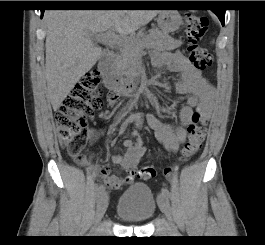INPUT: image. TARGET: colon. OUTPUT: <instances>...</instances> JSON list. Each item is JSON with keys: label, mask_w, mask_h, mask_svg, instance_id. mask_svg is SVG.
<instances>
[{"label": "colon", "mask_w": 265, "mask_h": 245, "mask_svg": "<svg viewBox=\"0 0 265 245\" xmlns=\"http://www.w3.org/2000/svg\"><path fill=\"white\" fill-rule=\"evenodd\" d=\"M185 26L188 40L187 53L190 61L200 70L210 68L213 64L212 55L198 44L207 30L206 19L188 16ZM99 82L100 74L97 69H94L75 85L55 114L60 142L68 150L70 156L76 160L82 159L81 152L87 141V119L92 117L96 111L112 106L111 102L103 97ZM206 127L205 118L195 113L188 129L187 141L181 151L182 162L188 161L200 152ZM172 173L170 168L163 171L164 176H170ZM156 175L157 169L153 165L143 166L138 171V177L142 180L152 179Z\"/></svg>", "instance_id": "1"}]
</instances>
